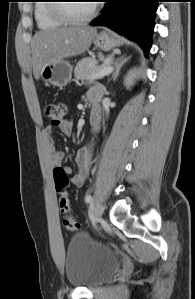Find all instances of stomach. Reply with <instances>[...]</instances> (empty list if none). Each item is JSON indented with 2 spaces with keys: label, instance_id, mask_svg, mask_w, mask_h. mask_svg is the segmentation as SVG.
Masks as SVG:
<instances>
[{
  "label": "stomach",
  "instance_id": "stomach-1",
  "mask_svg": "<svg viewBox=\"0 0 195 299\" xmlns=\"http://www.w3.org/2000/svg\"><path fill=\"white\" fill-rule=\"evenodd\" d=\"M94 44L102 51H110L119 46L121 41L116 36L103 31L95 36ZM40 77L53 86L64 87L71 80L72 66L64 60L46 64L41 71Z\"/></svg>",
  "mask_w": 195,
  "mask_h": 299
}]
</instances>
